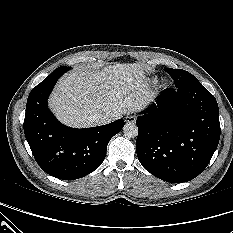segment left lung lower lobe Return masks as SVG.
Here are the masks:
<instances>
[{
	"label": "left lung lower lobe",
	"mask_w": 233,
	"mask_h": 233,
	"mask_svg": "<svg viewBox=\"0 0 233 233\" xmlns=\"http://www.w3.org/2000/svg\"><path fill=\"white\" fill-rule=\"evenodd\" d=\"M137 156L154 176L172 183L198 176L220 138L215 97L201 83L166 89L157 106L137 118Z\"/></svg>",
	"instance_id": "obj_1"
}]
</instances>
